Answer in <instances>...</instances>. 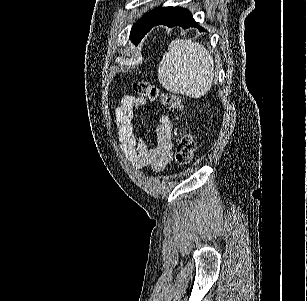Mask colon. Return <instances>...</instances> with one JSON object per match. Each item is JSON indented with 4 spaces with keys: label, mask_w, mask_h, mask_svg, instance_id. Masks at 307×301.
Returning <instances> with one entry per match:
<instances>
[{
    "label": "colon",
    "mask_w": 307,
    "mask_h": 301,
    "mask_svg": "<svg viewBox=\"0 0 307 301\" xmlns=\"http://www.w3.org/2000/svg\"><path fill=\"white\" fill-rule=\"evenodd\" d=\"M135 92L150 101H159L164 107L180 111L183 109L182 101L175 95L161 93L159 89L146 81H138L134 83ZM196 143L190 134L181 135L176 142L175 161L179 165L189 164L194 156Z\"/></svg>",
    "instance_id": "1"
}]
</instances>
